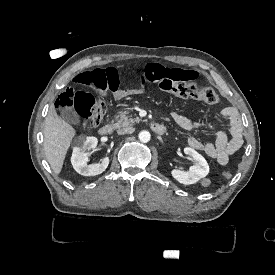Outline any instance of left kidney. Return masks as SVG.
<instances>
[{
    "label": "left kidney",
    "mask_w": 275,
    "mask_h": 275,
    "mask_svg": "<svg viewBox=\"0 0 275 275\" xmlns=\"http://www.w3.org/2000/svg\"><path fill=\"white\" fill-rule=\"evenodd\" d=\"M184 152L193 158L194 165L189 167V172L172 170L171 174L179 183L190 185L205 178L210 172V167L206 159L194 149L186 147Z\"/></svg>",
    "instance_id": "left-kidney-1"
}]
</instances>
